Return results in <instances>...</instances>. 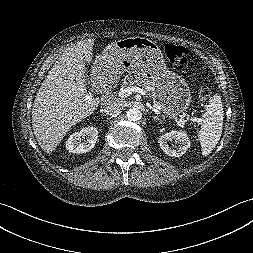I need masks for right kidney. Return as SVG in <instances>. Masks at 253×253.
<instances>
[{
  "instance_id": "right-kidney-1",
  "label": "right kidney",
  "mask_w": 253,
  "mask_h": 253,
  "mask_svg": "<svg viewBox=\"0 0 253 253\" xmlns=\"http://www.w3.org/2000/svg\"><path fill=\"white\" fill-rule=\"evenodd\" d=\"M97 138L98 130L96 128H83L80 132H75L70 135L66 141V149L71 153L89 152L95 146Z\"/></svg>"
}]
</instances>
